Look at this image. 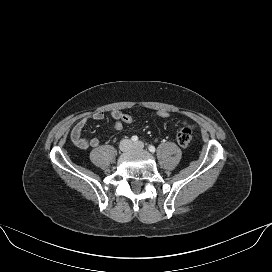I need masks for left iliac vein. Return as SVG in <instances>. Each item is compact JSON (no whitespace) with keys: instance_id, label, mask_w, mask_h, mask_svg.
Here are the masks:
<instances>
[{"instance_id":"obj_1","label":"left iliac vein","mask_w":272,"mask_h":272,"mask_svg":"<svg viewBox=\"0 0 272 272\" xmlns=\"http://www.w3.org/2000/svg\"><path fill=\"white\" fill-rule=\"evenodd\" d=\"M133 147L136 149H143L144 148V144L141 141H138L136 143L133 144Z\"/></svg>"}]
</instances>
